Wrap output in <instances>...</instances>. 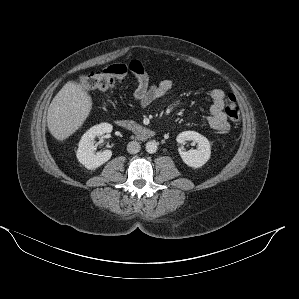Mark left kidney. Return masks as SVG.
<instances>
[{
	"label": "left kidney",
	"mask_w": 299,
	"mask_h": 299,
	"mask_svg": "<svg viewBox=\"0 0 299 299\" xmlns=\"http://www.w3.org/2000/svg\"><path fill=\"white\" fill-rule=\"evenodd\" d=\"M176 141L183 145L186 141L197 143V149L183 151V147L179 148V154L183 162L189 167L200 168L210 158L211 147L208 139L195 131H184L178 134Z\"/></svg>",
	"instance_id": "obj_1"
}]
</instances>
